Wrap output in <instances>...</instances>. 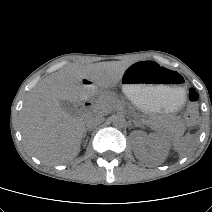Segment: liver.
Returning a JSON list of instances; mask_svg holds the SVG:
<instances>
[{"mask_svg":"<svg viewBox=\"0 0 212 212\" xmlns=\"http://www.w3.org/2000/svg\"><path fill=\"white\" fill-rule=\"evenodd\" d=\"M129 65L123 61L71 64L43 79L21 111L20 129L27 150L47 165L73 160L80 152L84 115L65 112L60 101L76 103L86 90L83 79L90 81L92 87H114ZM96 111L102 113L100 107Z\"/></svg>","mask_w":212,"mask_h":212,"instance_id":"liver-1","label":"liver"}]
</instances>
